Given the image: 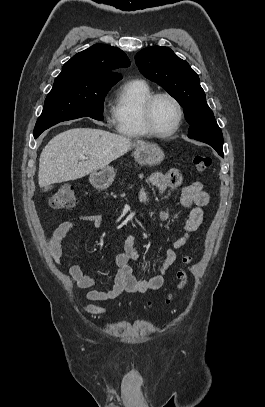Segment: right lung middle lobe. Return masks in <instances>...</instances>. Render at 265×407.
Masks as SVG:
<instances>
[{"label": "right lung middle lobe", "instance_id": "obj_1", "mask_svg": "<svg viewBox=\"0 0 265 407\" xmlns=\"http://www.w3.org/2000/svg\"><path fill=\"white\" fill-rule=\"evenodd\" d=\"M114 84L78 82L69 77H57L36 122L34 137L62 121L85 116L103 120V101Z\"/></svg>", "mask_w": 265, "mask_h": 407}]
</instances>
